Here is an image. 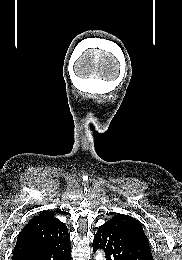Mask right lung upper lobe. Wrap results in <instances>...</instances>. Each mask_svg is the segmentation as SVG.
Listing matches in <instances>:
<instances>
[{
    "label": "right lung upper lobe",
    "instance_id": "right-lung-upper-lobe-1",
    "mask_svg": "<svg viewBox=\"0 0 182 260\" xmlns=\"http://www.w3.org/2000/svg\"><path fill=\"white\" fill-rule=\"evenodd\" d=\"M70 240L66 225L52 213L42 212L33 217L19 233L13 260L30 252L61 245Z\"/></svg>",
    "mask_w": 182,
    "mask_h": 260
}]
</instances>
